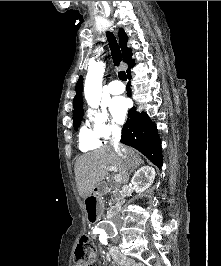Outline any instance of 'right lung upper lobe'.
Returning a JSON list of instances; mask_svg holds the SVG:
<instances>
[{
    "mask_svg": "<svg viewBox=\"0 0 221 266\" xmlns=\"http://www.w3.org/2000/svg\"><path fill=\"white\" fill-rule=\"evenodd\" d=\"M127 41H128L127 35L125 34L123 29H120L119 30L120 47H121L122 54H123V61L128 64V69L126 72L129 73L130 69L134 66V60L131 58L132 53H131V49L127 47ZM82 87H83V77L80 76L76 84V96L74 97V103H73V106H74L73 116L83 113Z\"/></svg>",
    "mask_w": 221,
    "mask_h": 266,
    "instance_id": "1",
    "label": "right lung upper lobe"
}]
</instances>
